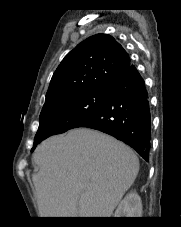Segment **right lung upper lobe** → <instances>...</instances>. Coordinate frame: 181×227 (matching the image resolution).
<instances>
[{
  "label": "right lung upper lobe",
  "mask_w": 181,
  "mask_h": 227,
  "mask_svg": "<svg viewBox=\"0 0 181 227\" xmlns=\"http://www.w3.org/2000/svg\"><path fill=\"white\" fill-rule=\"evenodd\" d=\"M133 67L123 47L110 35H93L78 44L54 72L43 108L51 103L109 88Z\"/></svg>",
  "instance_id": "right-lung-upper-lobe-1"
}]
</instances>
